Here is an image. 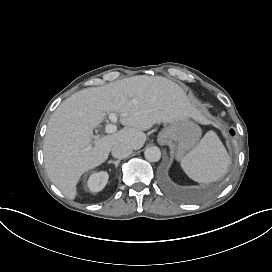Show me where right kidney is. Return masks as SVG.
I'll return each mask as SVG.
<instances>
[{
  "label": "right kidney",
  "instance_id": "1",
  "mask_svg": "<svg viewBox=\"0 0 272 272\" xmlns=\"http://www.w3.org/2000/svg\"><path fill=\"white\" fill-rule=\"evenodd\" d=\"M108 181V175L106 172H100L93 174L89 179V187L92 191H101Z\"/></svg>",
  "mask_w": 272,
  "mask_h": 272
}]
</instances>
